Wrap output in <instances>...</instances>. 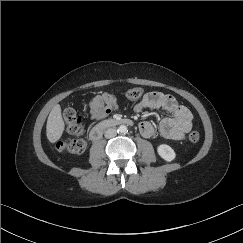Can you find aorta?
I'll use <instances>...</instances> for the list:
<instances>
[{"mask_svg": "<svg viewBox=\"0 0 243 243\" xmlns=\"http://www.w3.org/2000/svg\"><path fill=\"white\" fill-rule=\"evenodd\" d=\"M128 130H127V127L125 125H120L117 129V132L120 133V134H124L126 133Z\"/></svg>", "mask_w": 243, "mask_h": 243, "instance_id": "762f6f07", "label": "aorta"}]
</instances>
